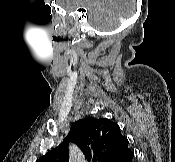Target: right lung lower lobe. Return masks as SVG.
Here are the masks:
<instances>
[{
	"instance_id": "obj_1",
	"label": "right lung lower lobe",
	"mask_w": 175,
	"mask_h": 162,
	"mask_svg": "<svg viewBox=\"0 0 175 162\" xmlns=\"http://www.w3.org/2000/svg\"><path fill=\"white\" fill-rule=\"evenodd\" d=\"M133 157H134L133 152H131L130 149L127 148L124 152L118 155L112 162H132Z\"/></svg>"
}]
</instances>
